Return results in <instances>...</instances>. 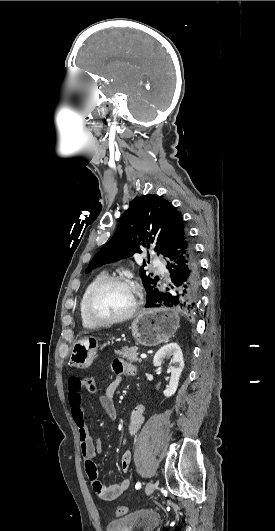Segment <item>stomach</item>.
<instances>
[{
	"mask_svg": "<svg viewBox=\"0 0 275 531\" xmlns=\"http://www.w3.org/2000/svg\"><path fill=\"white\" fill-rule=\"evenodd\" d=\"M179 319L174 309H144L131 323L132 337L138 345L156 347L173 337L179 327ZM98 349L99 339L91 335L75 341L70 355L71 367L87 369L92 365Z\"/></svg>",
	"mask_w": 275,
	"mask_h": 531,
	"instance_id": "stomach-1",
	"label": "stomach"
}]
</instances>
